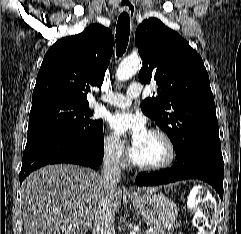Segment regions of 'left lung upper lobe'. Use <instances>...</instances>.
Wrapping results in <instances>:
<instances>
[{"mask_svg":"<svg viewBox=\"0 0 241 234\" xmlns=\"http://www.w3.org/2000/svg\"><path fill=\"white\" fill-rule=\"evenodd\" d=\"M135 42L144 63L139 81L154 79L158 85L157 95L146 98L141 110L167 133L176 156L194 144L221 145L214 97L200 55L156 18L138 26Z\"/></svg>","mask_w":241,"mask_h":234,"instance_id":"left-lung-upper-lobe-1","label":"left lung upper lobe"}]
</instances>
